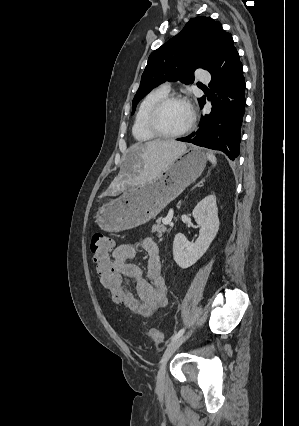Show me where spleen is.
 <instances>
[{"instance_id":"obj_1","label":"spleen","mask_w":299,"mask_h":426,"mask_svg":"<svg viewBox=\"0 0 299 426\" xmlns=\"http://www.w3.org/2000/svg\"><path fill=\"white\" fill-rule=\"evenodd\" d=\"M207 155V159L213 164V165H216V163H217V160H216V157L213 155V154H211V153H207L206 154Z\"/></svg>"}]
</instances>
